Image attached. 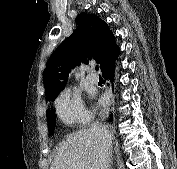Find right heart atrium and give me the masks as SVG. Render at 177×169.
<instances>
[{
  "label": "right heart atrium",
  "mask_w": 177,
  "mask_h": 169,
  "mask_svg": "<svg viewBox=\"0 0 177 169\" xmlns=\"http://www.w3.org/2000/svg\"><path fill=\"white\" fill-rule=\"evenodd\" d=\"M55 108L59 119L66 125H81L90 119V114L85 109L80 95L70 89L60 93Z\"/></svg>",
  "instance_id": "right-heart-atrium-1"
}]
</instances>
